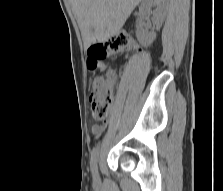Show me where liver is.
<instances>
[{
	"instance_id": "1",
	"label": "liver",
	"mask_w": 223,
	"mask_h": 191,
	"mask_svg": "<svg viewBox=\"0 0 223 191\" xmlns=\"http://www.w3.org/2000/svg\"><path fill=\"white\" fill-rule=\"evenodd\" d=\"M140 2L141 0H71L84 45L89 47L115 36Z\"/></svg>"
}]
</instances>
